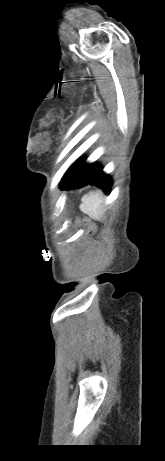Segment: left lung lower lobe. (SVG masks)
Here are the masks:
<instances>
[{
	"label": "left lung lower lobe",
	"mask_w": 165,
	"mask_h": 461,
	"mask_svg": "<svg viewBox=\"0 0 165 461\" xmlns=\"http://www.w3.org/2000/svg\"><path fill=\"white\" fill-rule=\"evenodd\" d=\"M87 184H94L109 194L112 181L99 164H85L84 161H79L68 169L60 187L61 189L79 188Z\"/></svg>",
	"instance_id": "1"
}]
</instances>
